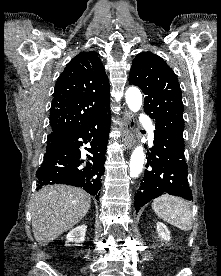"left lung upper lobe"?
I'll return each mask as SVG.
<instances>
[{
  "label": "left lung upper lobe",
  "instance_id": "obj_1",
  "mask_svg": "<svg viewBox=\"0 0 221 276\" xmlns=\"http://www.w3.org/2000/svg\"><path fill=\"white\" fill-rule=\"evenodd\" d=\"M129 83L140 87L145 94L144 111L156 121L155 128L184 142L181 88L163 59L151 52L139 53L132 62Z\"/></svg>",
  "mask_w": 221,
  "mask_h": 276
}]
</instances>
